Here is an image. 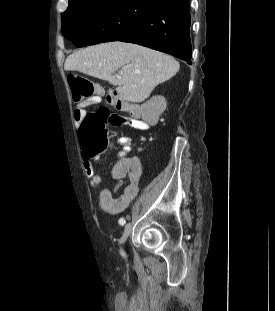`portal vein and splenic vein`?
Here are the masks:
<instances>
[{
    "mask_svg": "<svg viewBox=\"0 0 275 311\" xmlns=\"http://www.w3.org/2000/svg\"><path fill=\"white\" fill-rule=\"evenodd\" d=\"M116 77L120 79V78H121V75H117Z\"/></svg>",
    "mask_w": 275,
    "mask_h": 311,
    "instance_id": "18ae733b",
    "label": "portal vein and splenic vein"
}]
</instances>
